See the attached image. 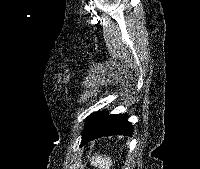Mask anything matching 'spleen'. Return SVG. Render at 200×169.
<instances>
[{
	"label": "spleen",
	"instance_id": "obj_1",
	"mask_svg": "<svg viewBox=\"0 0 200 169\" xmlns=\"http://www.w3.org/2000/svg\"><path fill=\"white\" fill-rule=\"evenodd\" d=\"M91 164L93 166H98L100 169H109L112 165V160L109 157L104 156L103 158L99 155L92 157Z\"/></svg>",
	"mask_w": 200,
	"mask_h": 169
}]
</instances>
